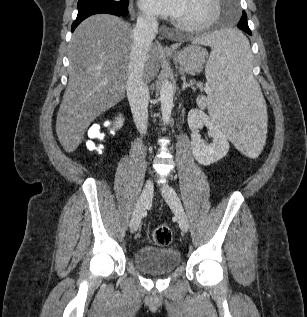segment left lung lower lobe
I'll return each mask as SVG.
<instances>
[{
	"label": "left lung lower lobe",
	"instance_id": "obj_1",
	"mask_svg": "<svg viewBox=\"0 0 307 317\" xmlns=\"http://www.w3.org/2000/svg\"><path fill=\"white\" fill-rule=\"evenodd\" d=\"M239 29L243 30L244 32H246L247 34L251 35V31L248 27V23L247 21H242L239 23V25L237 26ZM236 43V42H235Z\"/></svg>",
	"mask_w": 307,
	"mask_h": 317
}]
</instances>
